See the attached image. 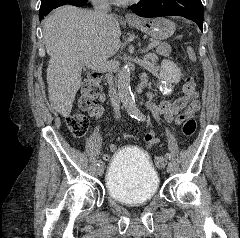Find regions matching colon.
Listing matches in <instances>:
<instances>
[{"label":"colon","instance_id":"1","mask_svg":"<svg viewBox=\"0 0 240 238\" xmlns=\"http://www.w3.org/2000/svg\"><path fill=\"white\" fill-rule=\"evenodd\" d=\"M101 80L102 76L99 72H93L86 78L79 102L81 108L89 109L97 102L101 92ZM183 92L185 96H190L195 92V81L191 75L185 77ZM66 125L75 137H83L88 130L89 120L83 113L75 112L66 118ZM195 131L196 119L194 116H188L183 122L182 132L185 136H192ZM165 165L164 157L159 156L155 159V166L158 169H163Z\"/></svg>","mask_w":240,"mask_h":238}]
</instances>
